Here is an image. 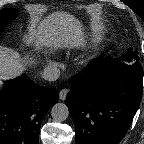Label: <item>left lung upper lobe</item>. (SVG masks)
Wrapping results in <instances>:
<instances>
[{"label":"left lung upper lobe","instance_id":"5c2ea615","mask_svg":"<svg viewBox=\"0 0 144 144\" xmlns=\"http://www.w3.org/2000/svg\"><path fill=\"white\" fill-rule=\"evenodd\" d=\"M117 63H125L132 66H141L138 60V55L136 51L128 49V51L123 54L120 59L111 58L110 65H115Z\"/></svg>","mask_w":144,"mask_h":144}]
</instances>
